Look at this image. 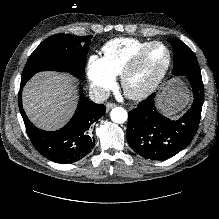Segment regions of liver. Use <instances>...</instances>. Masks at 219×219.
Here are the masks:
<instances>
[{
	"label": "liver",
	"mask_w": 219,
	"mask_h": 219,
	"mask_svg": "<svg viewBox=\"0 0 219 219\" xmlns=\"http://www.w3.org/2000/svg\"><path fill=\"white\" fill-rule=\"evenodd\" d=\"M22 99L24 110L33 124L44 130H56L72 116L77 90L70 76L42 72L26 84Z\"/></svg>",
	"instance_id": "liver-1"
}]
</instances>
